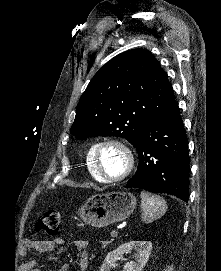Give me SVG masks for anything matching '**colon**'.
Returning a JSON list of instances; mask_svg holds the SVG:
<instances>
[{
	"instance_id": "obj_1",
	"label": "colon",
	"mask_w": 221,
	"mask_h": 271,
	"mask_svg": "<svg viewBox=\"0 0 221 271\" xmlns=\"http://www.w3.org/2000/svg\"><path fill=\"white\" fill-rule=\"evenodd\" d=\"M60 215L58 211H47L38 218L34 224L37 231H46L47 233H55L59 228Z\"/></svg>"
}]
</instances>
